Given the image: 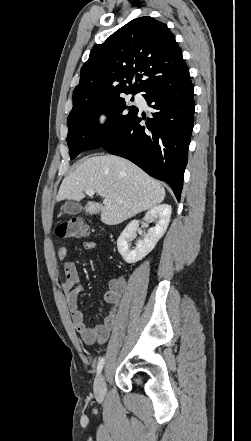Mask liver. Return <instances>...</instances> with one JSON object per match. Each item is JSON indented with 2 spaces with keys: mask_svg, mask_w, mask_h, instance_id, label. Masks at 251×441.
<instances>
[{
  "mask_svg": "<svg viewBox=\"0 0 251 441\" xmlns=\"http://www.w3.org/2000/svg\"><path fill=\"white\" fill-rule=\"evenodd\" d=\"M93 189L110 200L109 205L89 201L87 214H100L106 225H117L160 204L165 198L162 185L132 162L114 155L85 159L61 183L57 201H79L84 192Z\"/></svg>",
  "mask_w": 251,
  "mask_h": 441,
  "instance_id": "1",
  "label": "liver"
}]
</instances>
